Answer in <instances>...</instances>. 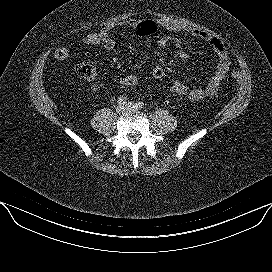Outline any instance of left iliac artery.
I'll return each mask as SVG.
<instances>
[{
	"label": "left iliac artery",
	"instance_id": "obj_1",
	"mask_svg": "<svg viewBox=\"0 0 272 272\" xmlns=\"http://www.w3.org/2000/svg\"><path fill=\"white\" fill-rule=\"evenodd\" d=\"M138 107L140 108V109H142V108H144V103L143 102H138Z\"/></svg>",
	"mask_w": 272,
	"mask_h": 272
}]
</instances>
